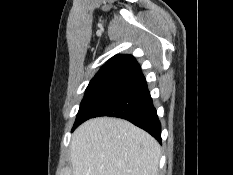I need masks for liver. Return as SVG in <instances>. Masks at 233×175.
<instances>
[{
    "mask_svg": "<svg viewBox=\"0 0 233 175\" xmlns=\"http://www.w3.org/2000/svg\"><path fill=\"white\" fill-rule=\"evenodd\" d=\"M160 157L159 143L123 119H90L71 139L73 175H158Z\"/></svg>",
    "mask_w": 233,
    "mask_h": 175,
    "instance_id": "liver-1",
    "label": "liver"
}]
</instances>
